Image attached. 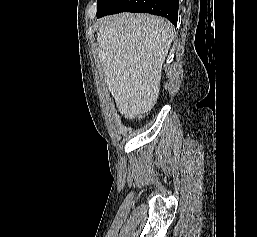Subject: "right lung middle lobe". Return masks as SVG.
Segmentation results:
<instances>
[{
  "instance_id": "dd1d6c3e",
  "label": "right lung middle lobe",
  "mask_w": 257,
  "mask_h": 237,
  "mask_svg": "<svg viewBox=\"0 0 257 237\" xmlns=\"http://www.w3.org/2000/svg\"><path fill=\"white\" fill-rule=\"evenodd\" d=\"M112 0H98L97 1V9L103 8L107 4H109Z\"/></svg>"
}]
</instances>
